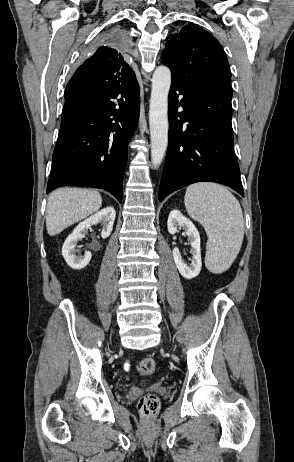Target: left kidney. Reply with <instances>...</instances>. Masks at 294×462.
<instances>
[{
	"label": "left kidney",
	"instance_id": "obj_1",
	"mask_svg": "<svg viewBox=\"0 0 294 462\" xmlns=\"http://www.w3.org/2000/svg\"><path fill=\"white\" fill-rule=\"evenodd\" d=\"M185 230L191 245V264L188 266L178 248L173 249V258L180 274L186 279H192L199 275L202 267L200 235L191 220L182 215L178 210H172L167 221V228L170 234H175L178 227Z\"/></svg>",
	"mask_w": 294,
	"mask_h": 462
}]
</instances>
